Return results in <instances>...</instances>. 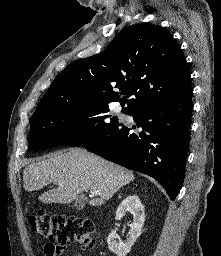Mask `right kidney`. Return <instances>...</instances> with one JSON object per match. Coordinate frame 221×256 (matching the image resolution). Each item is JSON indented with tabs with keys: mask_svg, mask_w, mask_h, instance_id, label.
<instances>
[{
	"mask_svg": "<svg viewBox=\"0 0 221 256\" xmlns=\"http://www.w3.org/2000/svg\"><path fill=\"white\" fill-rule=\"evenodd\" d=\"M126 211L133 215V222L130 225L127 241L125 243L122 241L117 242L115 231H111L107 238L109 250L117 256H126L131 251L136 239L141 235L145 221L144 207L136 195H129L121 202L116 211V218H121Z\"/></svg>",
	"mask_w": 221,
	"mask_h": 256,
	"instance_id": "right-kidney-1",
	"label": "right kidney"
}]
</instances>
